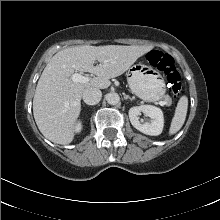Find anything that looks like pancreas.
Wrapping results in <instances>:
<instances>
[{
	"mask_svg": "<svg viewBox=\"0 0 220 220\" xmlns=\"http://www.w3.org/2000/svg\"><path fill=\"white\" fill-rule=\"evenodd\" d=\"M166 101H167L168 104L171 103V99H170L169 96L166 98Z\"/></svg>",
	"mask_w": 220,
	"mask_h": 220,
	"instance_id": "obj_1",
	"label": "pancreas"
}]
</instances>
